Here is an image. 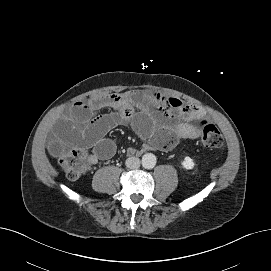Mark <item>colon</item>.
I'll return each instance as SVG.
<instances>
[{
    "label": "colon",
    "mask_w": 271,
    "mask_h": 271,
    "mask_svg": "<svg viewBox=\"0 0 271 271\" xmlns=\"http://www.w3.org/2000/svg\"><path fill=\"white\" fill-rule=\"evenodd\" d=\"M201 130V140L208 148H219L223 145V136L218 128L206 119L198 122ZM91 163V157L81 149H75L63 155L60 166L66 176L70 179H78L84 176Z\"/></svg>",
    "instance_id": "5ec220e1"
}]
</instances>
